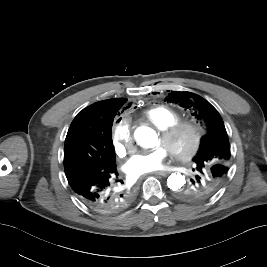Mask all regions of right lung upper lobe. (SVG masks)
<instances>
[{
    "instance_id": "cb5924a9",
    "label": "right lung upper lobe",
    "mask_w": 267,
    "mask_h": 267,
    "mask_svg": "<svg viewBox=\"0 0 267 267\" xmlns=\"http://www.w3.org/2000/svg\"><path fill=\"white\" fill-rule=\"evenodd\" d=\"M126 101V98H115L94 103L79 112L71 126L82 125L102 141L112 128V124L109 123L110 116L116 115Z\"/></svg>"
}]
</instances>
